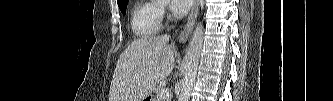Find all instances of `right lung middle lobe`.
I'll return each mask as SVG.
<instances>
[{
    "instance_id": "dd1d6c3e",
    "label": "right lung middle lobe",
    "mask_w": 333,
    "mask_h": 101,
    "mask_svg": "<svg viewBox=\"0 0 333 101\" xmlns=\"http://www.w3.org/2000/svg\"><path fill=\"white\" fill-rule=\"evenodd\" d=\"M127 3H128V0L124 1V2L121 3V4H118V6H119V8H120V11H121L122 14H124V15H125V13H126Z\"/></svg>"
}]
</instances>
